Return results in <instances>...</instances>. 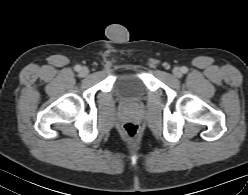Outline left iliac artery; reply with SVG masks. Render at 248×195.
Segmentation results:
<instances>
[{
    "label": "left iliac artery",
    "mask_w": 248,
    "mask_h": 195,
    "mask_svg": "<svg viewBox=\"0 0 248 195\" xmlns=\"http://www.w3.org/2000/svg\"><path fill=\"white\" fill-rule=\"evenodd\" d=\"M181 71H182L183 73H186V72L188 71V69H187L186 67H182V68H181Z\"/></svg>",
    "instance_id": "44dca946"
}]
</instances>
